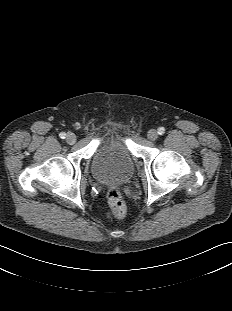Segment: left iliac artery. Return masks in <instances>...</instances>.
Instances as JSON below:
<instances>
[{"label": "left iliac artery", "mask_w": 232, "mask_h": 311, "mask_svg": "<svg viewBox=\"0 0 232 311\" xmlns=\"http://www.w3.org/2000/svg\"><path fill=\"white\" fill-rule=\"evenodd\" d=\"M164 133H165V128L164 127L158 128V134L159 135H163Z\"/></svg>", "instance_id": "obj_1"}]
</instances>
